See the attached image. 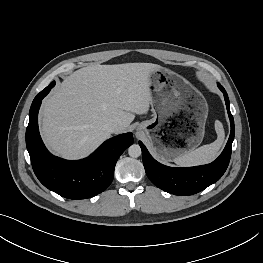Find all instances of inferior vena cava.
<instances>
[{
	"label": "inferior vena cava",
	"mask_w": 263,
	"mask_h": 263,
	"mask_svg": "<svg viewBox=\"0 0 263 263\" xmlns=\"http://www.w3.org/2000/svg\"><path fill=\"white\" fill-rule=\"evenodd\" d=\"M105 127H106V129H107L109 132L114 133V132H116V131L118 130L119 125H118L117 122H111V123L106 124Z\"/></svg>",
	"instance_id": "602c4592"
}]
</instances>
